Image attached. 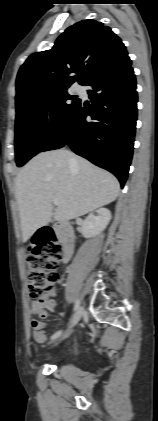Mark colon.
Returning a JSON list of instances; mask_svg holds the SVG:
<instances>
[{"instance_id":"5ec220e1","label":"colon","mask_w":158,"mask_h":421,"mask_svg":"<svg viewBox=\"0 0 158 421\" xmlns=\"http://www.w3.org/2000/svg\"><path fill=\"white\" fill-rule=\"evenodd\" d=\"M62 255V247L52 233H44L41 229L26 258L29 297L32 301L48 300V296L54 292L58 281L56 269Z\"/></svg>"}]
</instances>
